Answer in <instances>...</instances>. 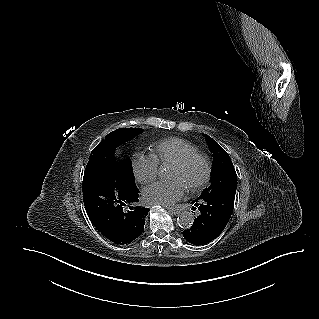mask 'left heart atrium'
<instances>
[{
  "instance_id": "39dd6f15",
  "label": "left heart atrium",
  "mask_w": 319,
  "mask_h": 319,
  "mask_svg": "<svg viewBox=\"0 0 319 319\" xmlns=\"http://www.w3.org/2000/svg\"><path fill=\"white\" fill-rule=\"evenodd\" d=\"M186 188L180 179L158 181L143 189V199L148 205L169 206L184 196Z\"/></svg>"
}]
</instances>
